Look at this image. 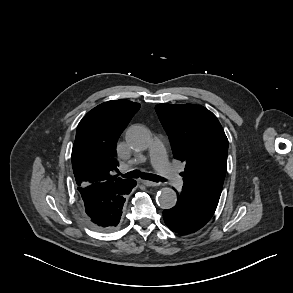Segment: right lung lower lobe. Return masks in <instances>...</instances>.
<instances>
[{
  "label": "right lung lower lobe",
  "mask_w": 293,
  "mask_h": 293,
  "mask_svg": "<svg viewBox=\"0 0 293 293\" xmlns=\"http://www.w3.org/2000/svg\"><path fill=\"white\" fill-rule=\"evenodd\" d=\"M136 186L134 180L124 184H98L78 187L84 213L96 227L112 230L119 225L125 197Z\"/></svg>",
  "instance_id": "1"
}]
</instances>
